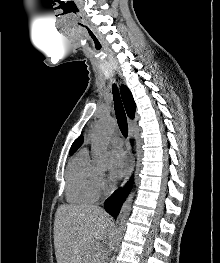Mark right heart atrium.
<instances>
[{
  "mask_svg": "<svg viewBox=\"0 0 220 263\" xmlns=\"http://www.w3.org/2000/svg\"><path fill=\"white\" fill-rule=\"evenodd\" d=\"M97 180H98L99 188L104 189L107 187L108 181H107L105 174L98 172Z\"/></svg>",
  "mask_w": 220,
  "mask_h": 263,
  "instance_id": "d8ad5b80",
  "label": "right heart atrium"
}]
</instances>
